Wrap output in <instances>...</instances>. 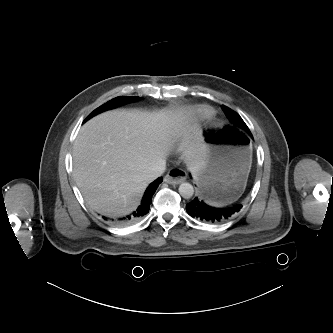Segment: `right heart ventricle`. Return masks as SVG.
<instances>
[{"label":"right heart ventricle","mask_w":333,"mask_h":333,"mask_svg":"<svg viewBox=\"0 0 333 333\" xmlns=\"http://www.w3.org/2000/svg\"><path fill=\"white\" fill-rule=\"evenodd\" d=\"M196 109H197V111H199V113H201L202 115H205V116H210L212 114L211 110H209L208 108L198 107Z\"/></svg>","instance_id":"1"}]
</instances>
